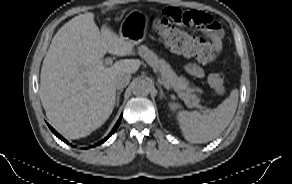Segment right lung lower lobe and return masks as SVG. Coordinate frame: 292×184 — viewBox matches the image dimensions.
I'll list each match as a JSON object with an SVG mask.
<instances>
[{
	"label": "right lung lower lobe",
	"mask_w": 292,
	"mask_h": 184,
	"mask_svg": "<svg viewBox=\"0 0 292 184\" xmlns=\"http://www.w3.org/2000/svg\"><path fill=\"white\" fill-rule=\"evenodd\" d=\"M121 119L122 117L119 118V120L117 121L116 125L114 126V128L112 129V131L110 132V134L105 138L103 139L102 141L98 142L97 144H95L94 146L96 145H100L101 143L105 142L115 131L116 129L118 128V126L120 125V122H121ZM49 128L51 129V131L59 138L61 139L62 141H64L65 143H68L61 135H59L50 125H48ZM92 146V147H94Z\"/></svg>",
	"instance_id": "1"
}]
</instances>
